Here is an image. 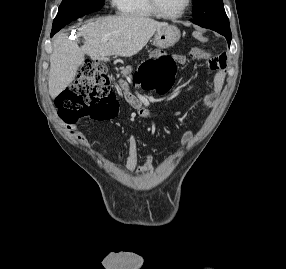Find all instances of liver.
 <instances>
[{
    "mask_svg": "<svg viewBox=\"0 0 286 269\" xmlns=\"http://www.w3.org/2000/svg\"><path fill=\"white\" fill-rule=\"evenodd\" d=\"M167 23L141 16H109L83 25L78 36L84 45L78 46L67 35H58L50 57L49 94L55 99L74 80L84 63L85 54L94 60L109 56L131 57L148 43L153 34ZM103 38H108L103 42Z\"/></svg>",
    "mask_w": 286,
    "mask_h": 269,
    "instance_id": "6515ba94",
    "label": "liver"
}]
</instances>
